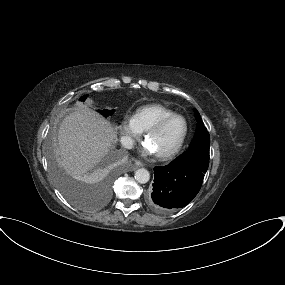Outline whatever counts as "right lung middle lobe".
I'll list each match as a JSON object with an SVG mask.
<instances>
[{"label": "right lung middle lobe", "mask_w": 285, "mask_h": 285, "mask_svg": "<svg viewBox=\"0 0 285 285\" xmlns=\"http://www.w3.org/2000/svg\"><path fill=\"white\" fill-rule=\"evenodd\" d=\"M87 95L83 96L80 98L81 101H84L86 99ZM103 116L108 117L110 114H113L115 110H98ZM50 162H51V167L54 172L56 181L64 193V195L75 205L87 208L90 207V205L83 199V197L80 195V193L77 191L75 186L68 180L66 179L61 172L58 170L54 160H53V155L52 152H50ZM109 185V179H107L104 182V186L107 189Z\"/></svg>", "instance_id": "obj_1"}]
</instances>
